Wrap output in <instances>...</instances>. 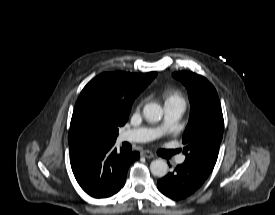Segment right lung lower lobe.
<instances>
[{"mask_svg":"<svg viewBox=\"0 0 275 215\" xmlns=\"http://www.w3.org/2000/svg\"><path fill=\"white\" fill-rule=\"evenodd\" d=\"M115 142L88 145L70 155L74 176L81 188L95 198H107L125 184L130 164L138 152H117Z\"/></svg>","mask_w":275,"mask_h":215,"instance_id":"right-lung-lower-lobe-1","label":"right lung lower lobe"}]
</instances>
